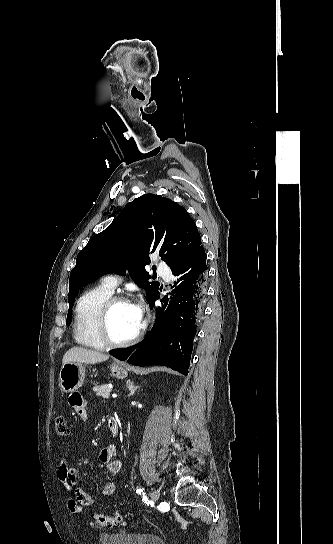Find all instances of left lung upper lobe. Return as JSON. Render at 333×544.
Wrapping results in <instances>:
<instances>
[{
  "instance_id": "left-lung-upper-lobe-1",
  "label": "left lung upper lobe",
  "mask_w": 333,
  "mask_h": 544,
  "mask_svg": "<svg viewBox=\"0 0 333 544\" xmlns=\"http://www.w3.org/2000/svg\"><path fill=\"white\" fill-rule=\"evenodd\" d=\"M201 246V237L186 209L169 198L143 195L128 203L121 214L80 251L70 273L67 325L72 321L75 296L99 275L126 270L145 289L148 300L159 293L145 270L149 253L156 252L171 270L186 263Z\"/></svg>"
}]
</instances>
